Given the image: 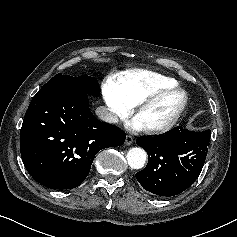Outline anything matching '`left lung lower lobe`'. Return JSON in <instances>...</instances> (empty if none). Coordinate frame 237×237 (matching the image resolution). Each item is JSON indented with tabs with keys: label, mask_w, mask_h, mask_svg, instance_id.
<instances>
[{
	"label": "left lung lower lobe",
	"mask_w": 237,
	"mask_h": 237,
	"mask_svg": "<svg viewBox=\"0 0 237 237\" xmlns=\"http://www.w3.org/2000/svg\"><path fill=\"white\" fill-rule=\"evenodd\" d=\"M210 132L178 126L165 134L137 138L136 143L147 151L148 164L136 173V179L145 190L159 196L183 192L203 168Z\"/></svg>",
	"instance_id": "1"
}]
</instances>
